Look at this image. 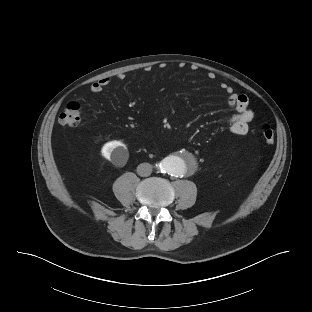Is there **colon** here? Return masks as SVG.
<instances>
[{"label":"colon","mask_w":312,"mask_h":312,"mask_svg":"<svg viewBox=\"0 0 312 312\" xmlns=\"http://www.w3.org/2000/svg\"><path fill=\"white\" fill-rule=\"evenodd\" d=\"M59 123L64 126L74 127L80 123L81 120V106L78 102H70L67 104L64 111L59 116ZM261 133L264 141L267 144H273L275 134L273 129L268 124H263Z\"/></svg>","instance_id":"5ec220e1"}]
</instances>
